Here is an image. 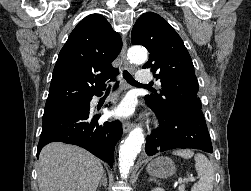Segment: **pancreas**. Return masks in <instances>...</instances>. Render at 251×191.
I'll use <instances>...</instances> for the list:
<instances>
[{"label": "pancreas", "mask_w": 251, "mask_h": 191, "mask_svg": "<svg viewBox=\"0 0 251 191\" xmlns=\"http://www.w3.org/2000/svg\"><path fill=\"white\" fill-rule=\"evenodd\" d=\"M179 191H184V185L183 187H179Z\"/></svg>", "instance_id": "obj_1"}]
</instances>
